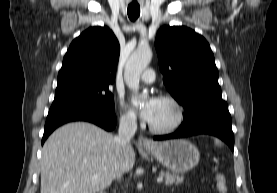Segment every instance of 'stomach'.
I'll return each instance as SVG.
<instances>
[{"label": "stomach", "mask_w": 277, "mask_h": 193, "mask_svg": "<svg viewBox=\"0 0 277 193\" xmlns=\"http://www.w3.org/2000/svg\"><path fill=\"white\" fill-rule=\"evenodd\" d=\"M146 150L174 173H184L191 170L198 164L200 158L196 146L184 139L156 143Z\"/></svg>", "instance_id": "0dacf381"}]
</instances>
